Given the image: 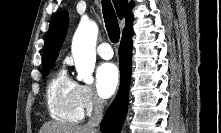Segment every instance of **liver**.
Listing matches in <instances>:
<instances>
[{
    "label": "liver",
    "instance_id": "obj_1",
    "mask_svg": "<svg viewBox=\"0 0 221 133\" xmlns=\"http://www.w3.org/2000/svg\"><path fill=\"white\" fill-rule=\"evenodd\" d=\"M39 133H91V130L86 125H74L61 122L45 123Z\"/></svg>",
    "mask_w": 221,
    "mask_h": 133
}]
</instances>
